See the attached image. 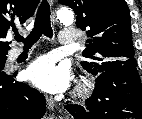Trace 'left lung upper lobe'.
Masks as SVG:
<instances>
[{
	"label": "left lung upper lobe",
	"instance_id": "5c2ea615",
	"mask_svg": "<svg viewBox=\"0 0 142 119\" xmlns=\"http://www.w3.org/2000/svg\"><path fill=\"white\" fill-rule=\"evenodd\" d=\"M77 15L76 26L88 29L82 67L96 76L124 65L137 66L134 58L130 13L125 0H59Z\"/></svg>",
	"mask_w": 142,
	"mask_h": 119
}]
</instances>
